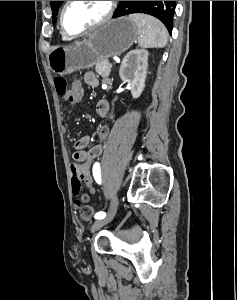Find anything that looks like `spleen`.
<instances>
[{"label":"spleen","instance_id":"3e777b00","mask_svg":"<svg viewBox=\"0 0 237 300\" xmlns=\"http://www.w3.org/2000/svg\"><path fill=\"white\" fill-rule=\"evenodd\" d=\"M130 21L137 27L139 47L142 49H162L167 45V29H165L163 23L150 17V15H141V13H135V15H129Z\"/></svg>","mask_w":237,"mask_h":300}]
</instances>
